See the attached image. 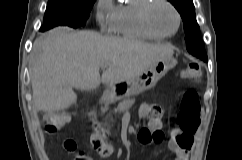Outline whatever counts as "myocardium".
Here are the masks:
<instances>
[{
    "instance_id": "obj_1",
    "label": "myocardium",
    "mask_w": 242,
    "mask_h": 160,
    "mask_svg": "<svg viewBox=\"0 0 242 160\" xmlns=\"http://www.w3.org/2000/svg\"><path fill=\"white\" fill-rule=\"evenodd\" d=\"M159 3L165 4L168 7H170L176 15L177 26H176L175 31L172 33L165 34V33L158 32L151 24L150 12H151L152 8L156 4H159ZM139 21H140L142 28L147 33H149L150 35H152L154 37H157L160 39H165V38L173 37L178 33V31L180 30V27H181L182 17H181L179 10L177 9V7L169 0H147V2L144 3L139 10Z\"/></svg>"
}]
</instances>
